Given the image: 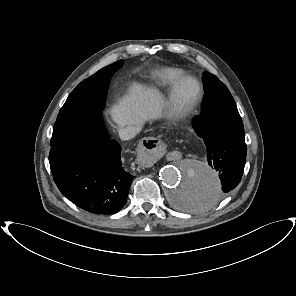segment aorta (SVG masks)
I'll return each mask as SVG.
<instances>
[{"mask_svg":"<svg viewBox=\"0 0 296 296\" xmlns=\"http://www.w3.org/2000/svg\"><path fill=\"white\" fill-rule=\"evenodd\" d=\"M160 180L173 208L181 212L206 213L214 209L221 198V183L206 163L188 160L179 167L165 166Z\"/></svg>","mask_w":296,"mask_h":296,"instance_id":"1","label":"aorta"}]
</instances>
